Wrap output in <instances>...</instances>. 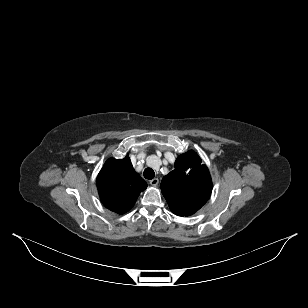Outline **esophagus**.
<instances>
[{
  "label": "esophagus",
  "instance_id": "1",
  "mask_svg": "<svg viewBox=\"0 0 308 308\" xmlns=\"http://www.w3.org/2000/svg\"><path fill=\"white\" fill-rule=\"evenodd\" d=\"M150 184L152 186H157L159 184V179L158 178H154V179L150 180Z\"/></svg>",
  "mask_w": 308,
  "mask_h": 308
}]
</instances>
